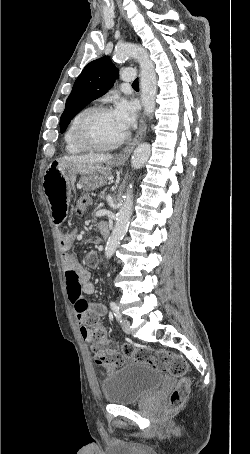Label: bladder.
Returning a JSON list of instances; mask_svg holds the SVG:
<instances>
[{
  "label": "bladder",
  "mask_w": 250,
  "mask_h": 454,
  "mask_svg": "<svg viewBox=\"0 0 250 454\" xmlns=\"http://www.w3.org/2000/svg\"><path fill=\"white\" fill-rule=\"evenodd\" d=\"M164 376L148 363L130 362L101 381L104 399L114 405L140 402L157 390Z\"/></svg>",
  "instance_id": "31cf9c89"
}]
</instances>
